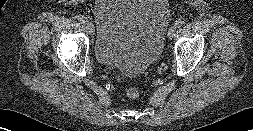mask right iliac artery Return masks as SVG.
<instances>
[{
  "label": "right iliac artery",
  "mask_w": 253,
  "mask_h": 131,
  "mask_svg": "<svg viewBox=\"0 0 253 131\" xmlns=\"http://www.w3.org/2000/svg\"><path fill=\"white\" fill-rule=\"evenodd\" d=\"M76 18L79 22H81L83 24L87 22V18L83 15H78Z\"/></svg>",
  "instance_id": "right-iliac-artery-1"
}]
</instances>
